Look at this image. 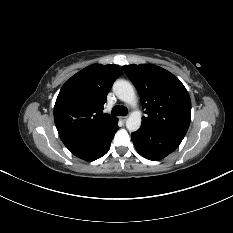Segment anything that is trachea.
Segmentation results:
<instances>
[{"mask_svg": "<svg viewBox=\"0 0 233 233\" xmlns=\"http://www.w3.org/2000/svg\"><path fill=\"white\" fill-rule=\"evenodd\" d=\"M128 109L125 106L116 105L113 107L111 114L113 116H126Z\"/></svg>", "mask_w": 233, "mask_h": 233, "instance_id": "trachea-1", "label": "trachea"}]
</instances>
